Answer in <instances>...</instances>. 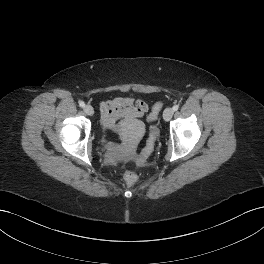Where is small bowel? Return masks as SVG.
Instances as JSON below:
<instances>
[{"mask_svg":"<svg viewBox=\"0 0 264 264\" xmlns=\"http://www.w3.org/2000/svg\"><path fill=\"white\" fill-rule=\"evenodd\" d=\"M99 109L102 124L107 128L120 130L128 122L144 117L149 108L143 100H135L131 97H115L102 101ZM120 120H123L121 126L118 124Z\"/></svg>","mask_w":264,"mask_h":264,"instance_id":"small-bowel-1","label":"small bowel"}]
</instances>
